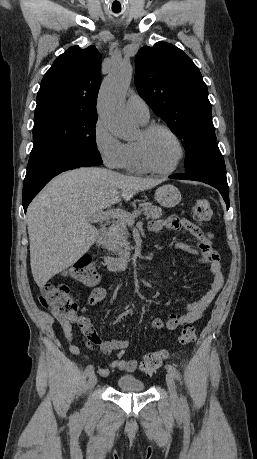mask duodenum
I'll return each mask as SVG.
<instances>
[{"label": "duodenum", "mask_w": 257, "mask_h": 459, "mask_svg": "<svg viewBox=\"0 0 257 459\" xmlns=\"http://www.w3.org/2000/svg\"><path fill=\"white\" fill-rule=\"evenodd\" d=\"M107 234V229L102 228L100 229L97 239H96V246L100 247L104 237ZM131 254L129 252H125L118 256H104L103 263L105 266L112 270L116 269H127L130 265Z\"/></svg>", "instance_id": "410a0bca"}]
</instances>
